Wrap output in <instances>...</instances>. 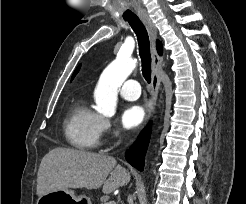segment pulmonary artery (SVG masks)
I'll use <instances>...</instances> for the list:
<instances>
[{
	"mask_svg": "<svg viewBox=\"0 0 246 204\" xmlns=\"http://www.w3.org/2000/svg\"><path fill=\"white\" fill-rule=\"evenodd\" d=\"M121 96L126 100H136L140 97L141 88L138 81L129 79L124 82L120 89Z\"/></svg>",
	"mask_w": 246,
	"mask_h": 204,
	"instance_id": "e3ab8cb5",
	"label": "pulmonary artery"
}]
</instances>
